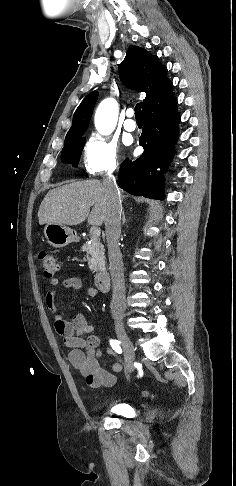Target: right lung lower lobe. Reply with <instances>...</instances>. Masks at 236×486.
<instances>
[{
	"instance_id": "right-lung-lower-lobe-1",
	"label": "right lung lower lobe",
	"mask_w": 236,
	"mask_h": 486,
	"mask_svg": "<svg viewBox=\"0 0 236 486\" xmlns=\"http://www.w3.org/2000/svg\"><path fill=\"white\" fill-rule=\"evenodd\" d=\"M176 106V97L171 93L143 108L144 126L139 144L144 152L136 161L125 160L119 170L118 185L125 191L148 198H163L161 172L173 156L178 137L180 117Z\"/></svg>"
}]
</instances>
